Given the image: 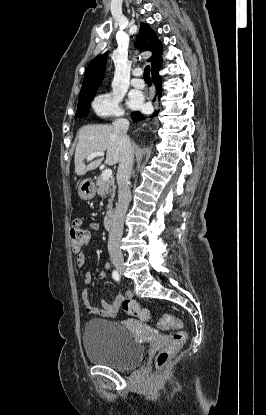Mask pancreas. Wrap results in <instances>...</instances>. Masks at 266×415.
Wrapping results in <instances>:
<instances>
[{
  "instance_id": "pancreas-1",
  "label": "pancreas",
  "mask_w": 266,
  "mask_h": 415,
  "mask_svg": "<svg viewBox=\"0 0 266 415\" xmlns=\"http://www.w3.org/2000/svg\"><path fill=\"white\" fill-rule=\"evenodd\" d=\"M96 191L97 194L101 197H106V195L110 194L111 198L108 201V212L112 211V203L115 197V190L116 186L114 184V178H109L108 180H103L102 176H99L96 183Z\"/></svg>"
}]
</instances>
